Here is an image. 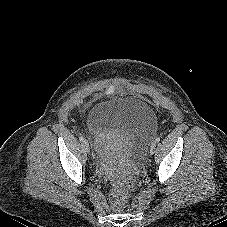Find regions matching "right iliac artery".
<instances>
[{"label": "right iliac artery", "mask_w": 227, "mask_h": 227, "mask_svg": "<svg viewBox=\"0 0 227 227\" xmlns=\"http://www.w3.org/2000/svg\"><path fill=\"white\" fill-rule=\"evenodd\" d=\"M79 140L80 141H84V138L81 136V137H79Z\"/></svg>", "instance_id": "obj_1"}]
</instances>
